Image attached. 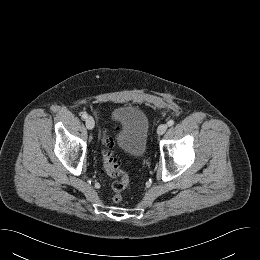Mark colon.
<instances>
[{"label":"colon","instance_id":"colon-1","mask_svg":"<svg viewBox=\"0 0 260 260\" xmlns=\"http://www.w3.org/2000/svg\"><path fill=\"white\" fill-rule=\"evenodd\" d=\"M102 161L105 173L115 179L112 183V190H113V197L112 200L115 203H120L123 199L122 192L128 187L129 185V177L128 175L123 172L117 160L113 154V143L110 137L104 135L102 140Z\"/></svg>","mask_w":260,"mask_h":260}]
</instances>
